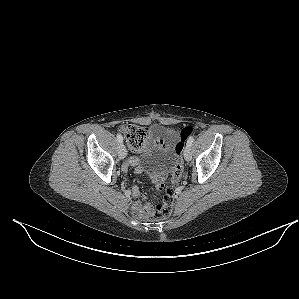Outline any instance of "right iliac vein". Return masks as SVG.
Listing matches in <instances>:
<instances>
[{"instance_id": "1", "label": "right iliac vein", "mask_w": 299, "mask_h": 299, "mask_svg": "<svg viewBox=\"0 0 299 299\" xmlns=\"http://www.w3.org/2000/svg\"><path fill=\"white\" fill-rule=\"evenodd\" d=\"M127 155V151H126V148L125 146L121 143L119 145V157L120 159H124Z\"/></svg>"}]
</instances>
